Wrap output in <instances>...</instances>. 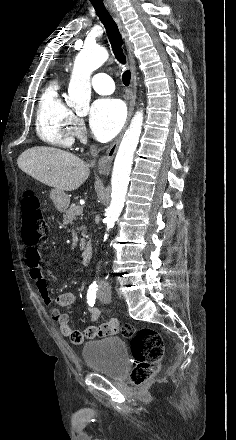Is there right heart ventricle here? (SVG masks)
I'll return each instance as SVG.
<instances>
[{
  "label": "right heart ventricle",
  "instance_id": "right-heart-ventricle-1",
  "mask_svg": "<svg viewBox=\"0 0 236 440\" xmlns=\"http://www.w3.org/2000/svg\"><path fill=\"white\" fill-rule=\"evenodd\" d=\"M61 86L54 79L45 87L39 99L36 114L38 136L46 143L68 148L74 140V114L63 102Z\"/></svg>",
  "mask_w": 236,
  "mask_h": 440
}]
</instances>
